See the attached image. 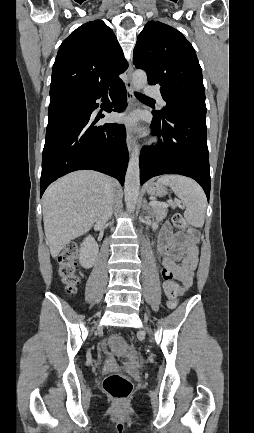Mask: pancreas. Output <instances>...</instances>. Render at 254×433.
I'll return each instance as SVG.
<instances>
[{
    "instance_id": "pancreas-1",
    "label": "pancreas",
    "mask_w": 254,
    "mask_h": 433,
    "mask_svg": "<svg viewBox=\"0 0 254 433\" xmlns=\"http://www.w3.org/2000/svg\"><path fill=\"white\" fill-rule=\"evenodd\" d=\"M172 208L175 207V204L170 205ZM168 205H156L151 207V215L156 218V220L160 221L167 216Z\"/></svg>"
}]
</instances>
